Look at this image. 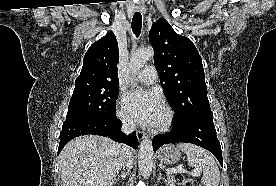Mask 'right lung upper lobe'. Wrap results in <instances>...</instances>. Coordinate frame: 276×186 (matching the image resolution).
Segmentation results:
<instances>
[{"instance_id":"cb5924a9","label":"right lung upper lobe","mask_w":276,"mask_h":186,"mask_svg":"<svg viewBox=\"0 0 276 186\" xmlns=\"http://www.w3.org/2000/svg\"><path fill=\"white\" fill-rule=\"evenodd\" d=\"M118 43L113 32L94 42L86 52L75 88L117 86Z\"/></svg>"}]
</instances>
